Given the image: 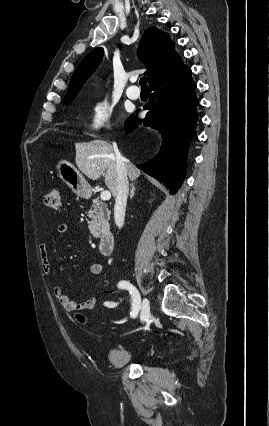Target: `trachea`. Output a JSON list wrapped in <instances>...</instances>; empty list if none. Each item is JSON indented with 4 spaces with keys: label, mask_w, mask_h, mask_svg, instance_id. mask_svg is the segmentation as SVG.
<instances>
[{
    "label": "trachea",
    "mask_w": 269,
    "mask_h": 426,
    "mask_svg": "<svg viewBox=\"0 0 269 426\" xmlns=\"http://www.w3.org/2000/svg\"><path fill=\"white\" fill-rule=\"evenodd\" d=\"M140 85H141V88H148V86H147V78L146 77H142L140 79Z\"/></svg>",
    "instance_id": "obj_1"
}]
</instances>
